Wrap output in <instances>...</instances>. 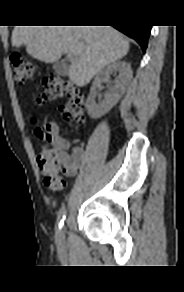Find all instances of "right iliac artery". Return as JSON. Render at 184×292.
Masks as SVG:
<instances>
[{
	"label": "right iliac artery",
	"instance_id": "1",
	"mask_svg": "<svg viewBox=\"0 0 184 292\" xmlns=\"http://www.w3.org/2000/svg\"><path fill=\"white\" fill-rule=\"evenodd\" d=\"M66 218V208L63 205L59 212H58V217H57V228H58V232L62 229V226L64 224V220Z\"/></svg>",
	"mask_w": 184,
	"mask_h": 292
}]
</instances>
